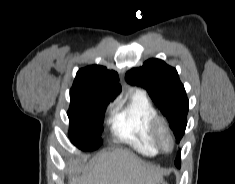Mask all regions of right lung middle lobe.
I'll return each mask as SVG.
<instances>
[{"label":"right lung middle lobe","mask_w":235,"mask_h":184,"mask_svg":"<svg viewBox=\"0 0 235 184\" xmlns=\"http://www.w3.org/2000/svg\"><path fill=\"white\" fill-rule=\"evenodd\" d=\"M70 99L67 112L70 121L69 139L82 150L99 148L102 144V116L107 105H88L79 94H70Z\"/></svg>","instance_id":"1"}]
</instances>
